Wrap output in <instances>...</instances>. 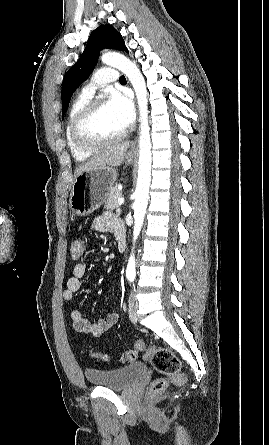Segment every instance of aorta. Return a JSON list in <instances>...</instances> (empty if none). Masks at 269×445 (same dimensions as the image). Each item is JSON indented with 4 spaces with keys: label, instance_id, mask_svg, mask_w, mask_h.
Listing matches in <instances>:
<instances>
[{
    "label": "aorta",
    "instance_id": "aorta-1",
    "mask_svg": "<svg viewBox=\"0 0 269 445\" xmlns=\"http://www.w3.org/2000/svg\"><path fill=\"white\" fill-rule=\"evenodd\" d=\"M101 60L108 66L115 67L122 71L131 82L139 107V167L137 186L135 190L134 208V231L133 240H137L145 217V212L149 199V188L151 183V138L148 123V98L144 77L140 70L127 57L118 53H105ZM136 273L135 255L132 252L126 269L127 276H134Z\"/></svg>",
    "mask_w": 269,
    "mask_h": 445
}]
</instances>
